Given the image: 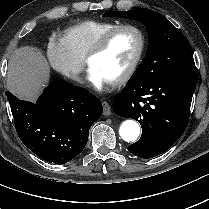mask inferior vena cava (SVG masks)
<instances>
[{"label":"inferior vena cava","mask_w":209,"mask_h":209,"mask_svg":"<svg viewBox=\"0 0 209 209\" xmlns=\"http://www.w3.org/2000/svg\"><path fill=\"white\" fill-rule=\"evenodd\" d=\"M73 79H74L75 81L82 82L81 78H80L78 75H75V76L73 77Z\"/></svg>","instance_id":"1"}]
</instances>
